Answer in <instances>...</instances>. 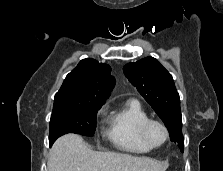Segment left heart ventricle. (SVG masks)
<instances>
[{"label": "left heart ventricle", "mask_w": 223, "mask_h": 171, "mask_svg": "<svg viewBox=\"0 0 223 171\" xmlns=\"http://www.w3.org/2000/svg\"><path fill=\"white\" fill-rule=\"evenodd\" d=\"M165 134L163 129L158 125H153L150 129V138L154 143H161L164 140Z\"/></svg>", "instance_id": "obj_1"}]
</instances>
